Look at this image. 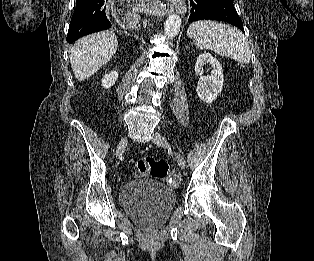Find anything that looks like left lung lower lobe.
<instances>
[{
	"label": "left lung lower lobe",
	"mask_w": 314,
	"mask_h": 261,
	"mask_svg": "<svg viewBox=\"0 0 314 261\" xmlns=\"http://www.w3.org/2000/svg\"><path fill=\"white\" fill-rule=\"evenodd\" d=\"M191 14L188 22L210 19L225 21L237 26L244 32L232 0H190Z\"/></svg>",
	"instance_id": "1"
}]
</instances>
